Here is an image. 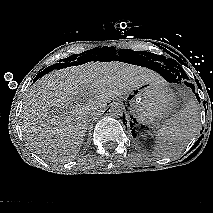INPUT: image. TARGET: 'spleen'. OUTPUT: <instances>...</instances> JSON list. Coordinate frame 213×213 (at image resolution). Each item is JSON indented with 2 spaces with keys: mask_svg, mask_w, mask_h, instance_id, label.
Masks as SVG:
<instances>
[{
  "mask_svg": "<svg viewBox=\"0 0 213 213\" xmlns=\"http://www.w3.org/2000/svg\"><path fill=\"white\" fill-rule=\"evenodd\" d=\"M199 127V106L192 97L160 127L156 135V149L165 154L184 149Z\"/></svg>",
  "mask_w": 213,
  "mask_h": 213,
  "instance_id": "1",
  "label": "spleen"
}]
</instances>
